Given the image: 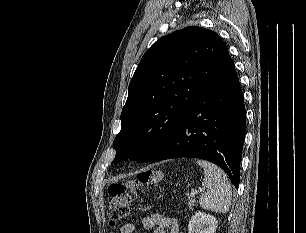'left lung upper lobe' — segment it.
Wrapping results in <instances>:
<instances>
[{"label":"left lung upper lobe","instance_id":"obj_1","mask_svg":"<svg viewBox=\"0 0 306 233\" xmlns=\"http://www.w3.org/2000/svg\"><path fill=\"white\" fill-rule=\"evenodd\" d=\"M229 57L215 32L189 26L157 40L128 87L113 163L149 162Z\"/></svg>","mask_w":306,"mask_h":233}]
</instances>
